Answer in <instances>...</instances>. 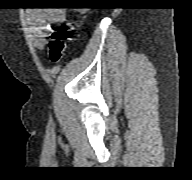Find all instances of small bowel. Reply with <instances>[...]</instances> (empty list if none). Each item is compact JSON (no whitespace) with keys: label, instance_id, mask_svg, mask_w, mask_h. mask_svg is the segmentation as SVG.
Listing matches in <instances>:
<instances>
[{"label":"small bowel","instance_id":"c3829d8e","mask_svg":"<svg viewBox=\"0 0 192 180\" xmlns=\"http://www.w3.org/2000/svg\"><path fill=\"white\" fill-rule=\"evenodd\" d=\"M26 21L32 33L35 47L43 50L47 44L45 32L55 25L67 22V15L65 10L61 8H37L27 12Z\"/></svg>","mask_w":192,"mask_h":180}]
</instances>
